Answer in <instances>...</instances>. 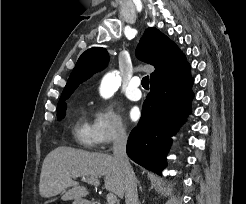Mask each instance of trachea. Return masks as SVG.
<instances>
[{"mask_svg": "<svg viewBox=\"0 0 246 204\" xmlns=\"http://www.w3.org/2000/svg\"><path fill=\"white\" fill-rule=\"evenodd\" d=\"M141 84H142L143 88L149 89V77L148 76L143 77Z\"/></svg>", "mask_w": 246, "mask_h": 204, "instance_id": "trachea-1", "label": "trachea"}]
</instances>
